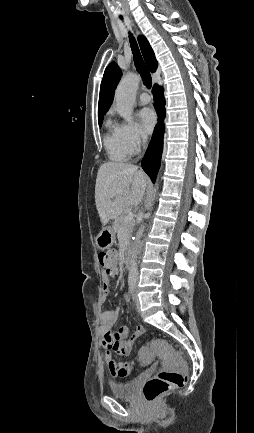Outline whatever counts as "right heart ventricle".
Instances as JSON below:
<instances>
[{
    "label": "right heart ventricle",
    "mask_w": 254,
    "mask_h": 433,
    "mask_svg": "<svg viewBox=\"0 0 254 433\" xmlns=\"http://www.w3.org/2000/svg\"><path fill=\"white\" fill-rule=\"evenodd\" d=\"M106 129L104 146L109 159L115 162L126 161L130 156V153L125 147L119 126L108 120L106 123Z\"/></svg>",
    "instance_id": "obj_1"
}]
</instances>
